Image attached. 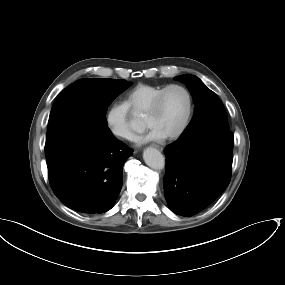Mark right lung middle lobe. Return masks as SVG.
<instances>
[{
    "label": "right lung middle lobe",
    "mask_w": 285,
    "mask_h": 285,
    "mask_svg": "<svg viewBox=\"0 0 285 285\" xmlns=\"http://www.w3.org/2000/svg\"><path fill=\"white\" fill-rule=\"evenodd\" d=\"M132 83L125 80L93 78L80 79L65 88L56 98L49 117L47 141L64 127L81 118L106 121L107 107Z\"/></svg>",
    "instance_id": "right-lung-middle-lobe-1"
}]
</instances>
